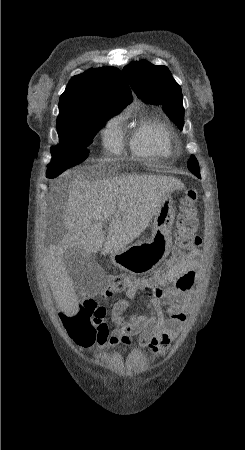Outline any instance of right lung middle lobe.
<instances>
[{
    "mask_svg": "<svg viewBox=\"0 0 245 450\" xmlns=\"http://www.w3.org/2000/svg\"><path fill=\"white\" fill-rule=\"evenodd\" d=\"M123 108L113 104H94L76 114L57 119L60 144L51 152L52 161L46 177L54 178L88 157L87 146L103 126L105 119Z\"/></svg>",
    "mask_w": 245,
    "mask_h": 450,
    "instance_id": "dd1d6c3e",
    "label": "right lung middle lobe"
}]
</instances>
